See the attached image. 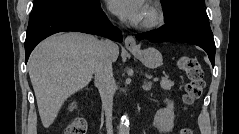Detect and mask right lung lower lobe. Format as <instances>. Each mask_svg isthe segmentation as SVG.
Returning <instances> with one entry per match:
<instances>
[{"label":"right lung lower lobe","instance_id":"98d812e1","mask_svg":"<svg viewBox=\"0 0 239 134\" xmlns=\"http://www.w3.org/2000/svg\"><path fill=\"white\" fill-rule=\"evenodd\" d=\"M63 31H79L121 42V32L107 19L100 1L51 0L33 9L25 40L26 62L35 46L46 37Z\"/></svg>","mask_w":239,"mask_h":134}]
</instances>
